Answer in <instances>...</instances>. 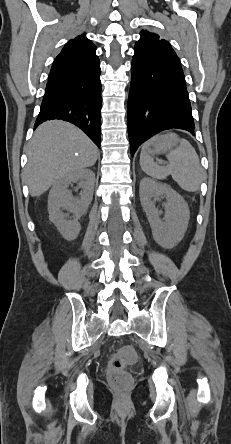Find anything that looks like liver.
Wrapping results in <instances>:
<instances>
[{"mask_svg":"<svg viewBox=\"0 0 231 444\" xmlns=\"http://www.w3.org/2000/svg\"><path fill=\"white\" fill-rule=\"evenodd\" d=\"M24 181L32 197H39L63 176L91 167L96 145L76 126L51 120L41 124L28 146Z\"/></svg>","mask_w":231,"mask_h":444,"instance_id":"6515ba94","label":"liver"}]
</instances>
